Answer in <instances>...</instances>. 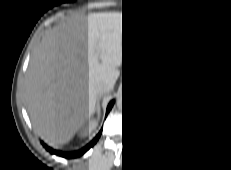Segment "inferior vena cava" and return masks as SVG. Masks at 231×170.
Returning <instances> with one entry per match:
<instances>
[{
  "instance_id": "obj_1",
  "label": "inferior vena cava",
  "mask_w": 231,
  "mask_h": 170,
  "mask_svg": "<svg viewBox=\"0 0 231 170\" xmlns=\"http://www.w3.org/2000/svg\"><path fill=\"white\" fill-rule=\"evenodd\" d=\"M95 91L99 96L105 95L110 92V85L105 82H100L96 85Z\"/></svg>"
}]
</instances>
